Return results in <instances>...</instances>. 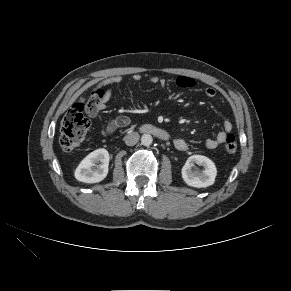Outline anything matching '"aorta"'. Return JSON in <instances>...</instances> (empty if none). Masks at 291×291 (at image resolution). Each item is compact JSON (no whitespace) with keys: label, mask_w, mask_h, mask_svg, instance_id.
Here are the masks:
<instances>
[{"label":"aorta","mask_w":291,"mask_h":291,"mask_svg":"<svg viewBox=\"0 0 291 291\" xmlns=\"http://www.w3.org/2000/svg\"><path fill=\"white\" fill-rule=\"evenodd\" d=\"M153 138L150 134H143L141 137V143L144 146H149L152 144Z\"/></svg>","instance_id":"762f6f07"}]
</instances>
